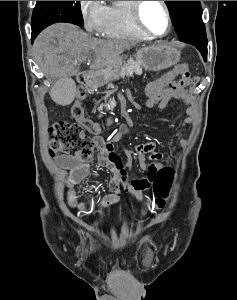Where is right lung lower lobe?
<instances>
[{
  "label": "right lung lower lobe",
  "instance_id": "right-lung-lower-lobe-1",
  "mask_svg": "<svg viewBox=\"0 0 237 300\" xmlns=\"http://www.w3.org/2000/svg\"><path fill=\"white\" fill-rule=\"evenodd\" d=\"M36 37H37V36H34V35L32 34V40H34Z\"/></svg>",
  "mask_w": 237,
  "mask_h": 300
}]
</instances>
